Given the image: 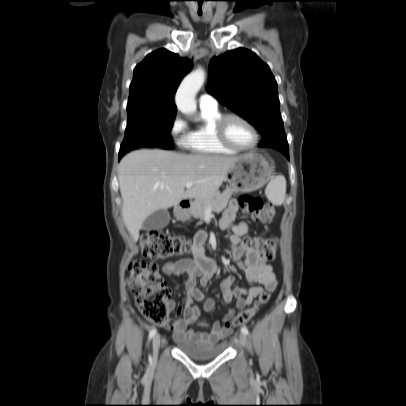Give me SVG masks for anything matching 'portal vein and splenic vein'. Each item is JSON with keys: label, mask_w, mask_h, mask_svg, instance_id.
Instances as JSON below:
<instances>
[{"label": "portal vein and splenic vein", "mask_w": 406, "mask_h": 406, "mask_svg": "<svg viewBox=\"0 0 406 406\" xmlns=\"http://www.w3.org/2000/svg\"><path fill=\"white\" fill-rule=\"evenodd\" d=\"M195 182H188L186 183V188H191Z\"/></svg>", "instance_id": "1"}]
</instances>
